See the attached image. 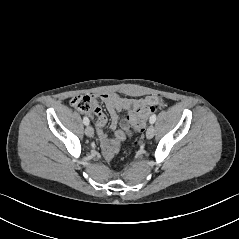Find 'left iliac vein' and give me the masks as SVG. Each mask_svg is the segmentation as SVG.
I'll use <instances>...</instances> for the list:
<instances>
[{
    "mask_svg": "<svg viewBox=\"0 0 239 239\" xmlns=\"http://www.w3.org/2000/svg\"><path fill=\"white\" fill-rule=\"evenodd\" d=\"M154 134H155V127L151 124V125H149V127L147 128V131H146L147 139L153 138Z\"/></svg>",
    "mask_w": 239,
    "mask_h": 239,
    "instance_id": "1",
    "label": "left iliac vein"
}]
</instances>
